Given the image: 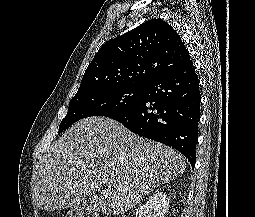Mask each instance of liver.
<instances>
[{"label":"liver","instance_id":"6515ba94","mask_svg":"<svg viewBox=\"0 0 255 217\" xmlns=\"http://www.w3.org/2000/svg\"><path fill=\"white\" fill-rule=\"evenodd\" d=\"M185 168V158L173 148L142 138L113 119L89 117L66 130L40 159L32 198L42 210H62L84 201L107 179L97 208L118 215Z\"/></svg>","mask_w":255,"mask_h":217}]
</instances>
